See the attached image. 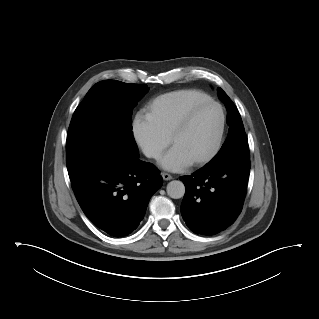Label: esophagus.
I'll return each instance as SVG.
<instances>
[{
	"label": "esophagus",
	"instance_id": "1",
	"mask_svg": "<svg viewBox=\"0 0 319 319\" xmlns=\"http://www.w3.org/2000/svg\"><path fill=\"white\" fill-rule=\"evenodd\" d=\"M162 177L165 181L171 180L172 176L168 173H162Z\"/></svg>",
	"mask_w": 319,
	"mask_h": 319
}]
</instances>
